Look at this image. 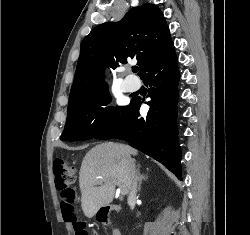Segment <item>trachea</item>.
Here are the masks:
<instances>
[{"label": "trachea", "instance_id": "1", "mask_svg": "<svg viewBox=\"0 0 250 235\" xmlns=\"http://www.w3.org/2000/svg\"><path fill=\"white\" fill-rule=\"evenodd\" d=\"M138 70H139V68H138V67H132V71H133L134 73H137V72H138Z\"/></svg>", "mask_w": 250, "mask_h": 235}]
</instances>
